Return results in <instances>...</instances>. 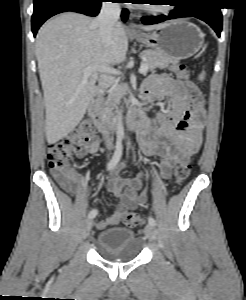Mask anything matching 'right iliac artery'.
I'll use <instances>...</instances> for the list:
<instances>
[{"instance_id": "right-iliac-artery-1", "label": "right iliac artery", "mask_w": 246, "mask_h": 300, "mask_svg": "<svg viewBox=\"0 0 246 300\" xmlns=\"http://www.w3.org/2000/svg\"><path fill=\"white\" fill-rule=\"evenodd\" d=\"M122 151H123L122 141L119 139L116 142V149H115L114 155L112 156L111 160L109 161V163L107 165L108 171L112 170L118 164V162L122 156ZM97 213H98V211L96 209L91 210L88 214V218H90V219L95 218Z\"/></svg>"}]
</instances>
